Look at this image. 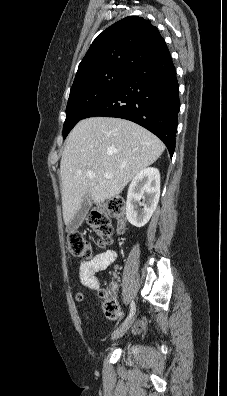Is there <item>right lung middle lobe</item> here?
I'll use <instances>...</instances> for the list:
<instances>
[{"mask_svg":"<svg viewBox=\"0 0 227 396\" xmlns=\"http://www.w3.org/2000/svg\"><path fill=\"white\" fill-rule=\"evenodd\" d=\"M132 70L112 68L88 76L73 84L66 107L63 138L96 104L111 94Z\"/></svg>","mask_w":227,"mask_h":396,"instance_id":"right-lung-middle-lobe-1","label":"right lung middle lobe"}]
</instances>
